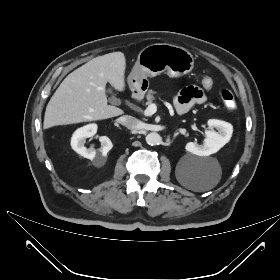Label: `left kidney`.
I'll return each mask as SVG.
<instances>
[{
    "mask_svg": "<svg viewBox=\"0 0 280 280\" xmlns=\"http://www.w3.org/2000/svg\"><path fill=\"white\" fill-rule=\"evenodd\" d=\"M207 124L208 129L205 131L206 138L204 144L198 145L194 142H188L185 146L186 151L198 156H209L219 151L230 141L233 132V127L230 123L210 119Z\"/></svg>",
    "mask_w": 280,
    "mask_h": 280,
    "instance_id": "1",
    "label": "left kidney"
}]
</instances>
